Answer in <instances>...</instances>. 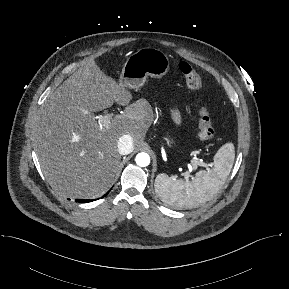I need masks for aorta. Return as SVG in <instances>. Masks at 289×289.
I'll return each mask as SVG.
<instances>
[{"instance_id": "obj_1", "label": "aorta", "mask_w": 289, "mask_h": 289, "mask_svg": "<svg viewBox=\"0 0 289 289\" xmlns=\"http://www.w3.org/2000/svg\"><path fill=\"white\" fill-rule=\"evenodd\" d=\"M135 161L138 166L146 167L150 164V156L145 152H141L136 155Z\"/></svg>"}]
</instances>
